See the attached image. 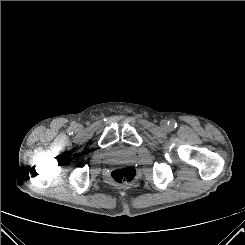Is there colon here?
<instances>
[{"label":"colon","mask_w":245,"mask_h":245,"mask_svg":"<svg viewBox=\"0 0 245 245\" xmlns=\"http://www.w3.org/2000/svg\"><path fill=\"white\" fill-rule=\"evenodd\" d=\"M136 170L131 166L117 167L111 171L112 180L121 186H128L136 180Z\"/></svg>","instance_id":"obj_1"}]
</instances>
